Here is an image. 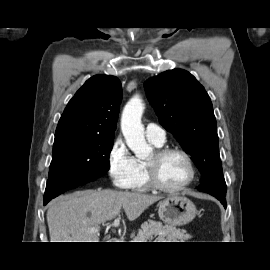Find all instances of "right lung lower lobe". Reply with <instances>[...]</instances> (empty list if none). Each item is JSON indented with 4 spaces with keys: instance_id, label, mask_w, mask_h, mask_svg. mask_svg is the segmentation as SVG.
I'll use <instances>...</instances> for the list:
<instances>
[{
    "instance_id": "98d812e1",
    "label": "right lung lower lobe",
    "mask_w": 270,
    "mask_h": 270,
    "mask_svg": "<svg viewBox=\"0 0 270 270\" xmlns=\"http://www.w3.org/2000/svg\"><path fill=\"white\" fill-rule=\"evenodd\" d=\"M53 198H55V197L44 196V205H46Z\"/></svg>"
}]
</instances>
